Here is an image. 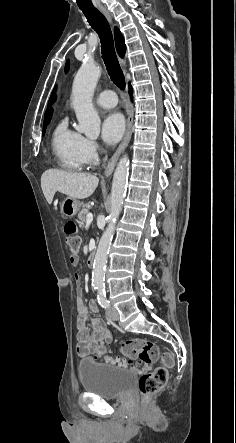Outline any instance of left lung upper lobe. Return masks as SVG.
<instances>
[{"label":"left lung upper lobe","mask_w":236,"mask_h":443,"mask_svg":"<svg viewBox=\"0 0 236 443\" xmlns=\"http://www.w3.org/2000/svg\"><path fill=\"white\" fill-rule=\"evenodd\" d=\"M68 69H69V61L66 62V65H65V72H67Z\"/></svg>","instance_id":"5c2ea615"}]
</instances>
